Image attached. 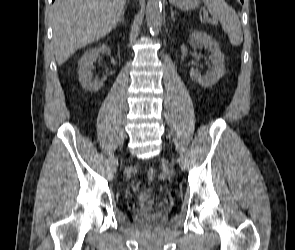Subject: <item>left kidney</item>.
I'll return each mask as SVG.
<instances>
[{
	"instance_id": "1",
	"label": "left kidney",
	"mask_w": 295,
	"mask_h": 250,
	"mask_svg": "<svg viewBox=\"0 0 295 250\" xmlns=\"http://www.w3.org/2000/svg\"><path fill=\"white\" fill-rule=\"evenodd\" d=\"M189 44H202L211 52L209 60L212 64V69L206 75L201 74L194 69L190 70V78L204 87H211L216 84L224 74V55L221 53L217 42L207 33L202 31H192L189 36Z\"/></svg>"
}]
</instances>
